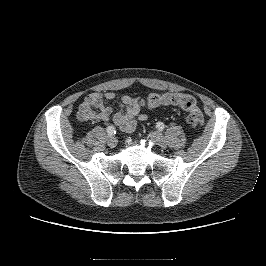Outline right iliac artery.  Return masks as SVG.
Returning a JSON list of instances; mask_svg holds the SVG:
<instances>
[{
	"label": "right iliac artery",
	"instance_id": "obj_1",
	"mask_svg": "<svg viewBox=\"0 0 266 266\" xmlns=\"http://www.w3.org/2000/svg\"><path fill=\"white\" fill-rule=\"evenodd\" d=\"M106 131H107L108 135H110V136L114 135L116 133V129L113 125L108 126Z\"/></svg>",
	"mask_w": 266,
	"mask_h": 266
}]
</instances>
